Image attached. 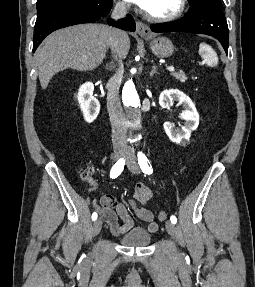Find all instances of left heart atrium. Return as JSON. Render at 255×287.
I'll use <instances>...</instances> for the list:
<instances>
[{
    "mask_svg": "<svg viewBox=\"0 0 255 287\" xmlns=\"http://www.w3.org/2000/svg\"><path fill=\"white\" fill-rule=\"evenodd\" d=\"M138 1H140L142 4L145 5L146 3H148L149 0H138Z\"/></svg>",
    "mask_w": 255,
    "mask_h": 287,
    "instance_id": "1",
    "label": "left heart atrium"
}]
</instances>
